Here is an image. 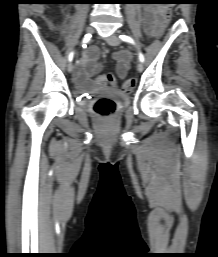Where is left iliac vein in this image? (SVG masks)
Returning <instances> with one entry per match:
<instances>
[{"mask_svg": "<svg viewBox=\"0 0 218 257\" xmlns=\"http://www.w3.org/2000/svg\"><path fill=\"white\" fill-rule=\"evenodd\" d=\"M106 41L111 46H117V45L120 44V39L115 34H112L109 37H107ZM137 70L139 72L143 71V64H142L141 61H139L138 64H137Z\"/></svg>", "mask_w": 218, "mask_h": 257, "instance_id": "1", "label": "left iliac vein"}]
</instances>
